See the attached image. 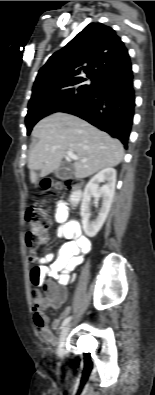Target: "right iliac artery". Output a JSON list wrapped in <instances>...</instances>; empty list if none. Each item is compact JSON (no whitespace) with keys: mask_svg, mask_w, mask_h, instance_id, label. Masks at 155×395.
I'll list each match as a JSON object with an SVG mask.
<instances>
[{"mask_svg":"<svg viewBox=\"0 0 155 395\" xmlns=\"http://www.w3.org/2000/svg\"><path fill=\"white\" fill-rule=\"evenodd\" d=\"M71 318H72L71 316L67 317V318L62 322V327H61V328H64V327L70 322Z\"/></svg>","mask_w":155,"mask_h":395,"instance_id":"82829eb1","label":"right iliac artery"}]
</instances>
